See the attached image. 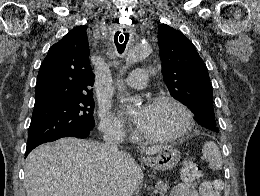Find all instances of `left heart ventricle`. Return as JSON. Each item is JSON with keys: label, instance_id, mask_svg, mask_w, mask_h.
I'll use <instances>...</instances> for the list:
<instances>
[{"label": "left heart ventricle", "instance_id": "1", "mask_svg": "<svg viewBox=\"0 0 260 196\" xmlns=\"http://www.w3.org/2000/svg\"><path fill=\"white\" fill-rule=\"evenodd\" d=\"M185 120V114L175 105H148L145 123L141 130L146 134H169L180 130Z\"/></svg>", "mask_w": 260, "mask_h": 196}]
</instances>
